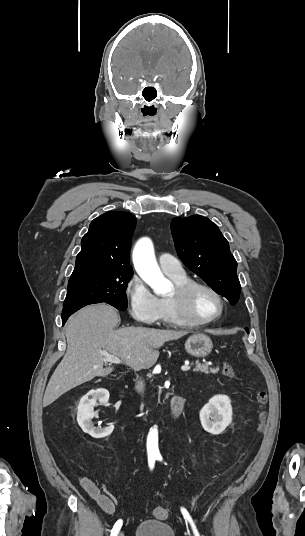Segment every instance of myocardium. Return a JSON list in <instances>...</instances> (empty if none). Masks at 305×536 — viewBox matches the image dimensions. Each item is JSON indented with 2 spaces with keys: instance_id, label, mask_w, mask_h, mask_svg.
Returning <instances> with one entry per match:
<instances>
[{
  "instance_id": "f54148a6",
  "label": "myocardium",
  "mask_w": 305,
  "mask_h": 536,
  "mask_svg": "<svg viewBox=\"0 0 305 536\" xmlns=\"http://www.w3.org/2000/svg\"><path fill=\"white\" fill-rule=\"evenodd\" d=\"M199 289H206L212 292L221 301V310L216 317L204 321H195L191 319L189 314V301L192 295ZM168 301L182 325L190 328H202L213 325L225 315L228 306L226 297L218 289L210 284L194 280L184 284H177L173 293L168 296Z\"/></svg>"
}]
</instances>
